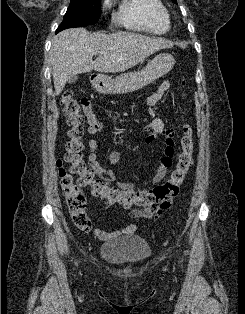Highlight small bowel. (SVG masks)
<instances>
[{"instance_id":"small-bowel-1","label":"small bowel","mask_w":245,"mask_h":314,"mask_svg":"<svg viewBox=\"0 0 245 314\" xmlns=\"http://www.w3.org/2000/svg\"><path fill=\"white\" fill-rule=\"evenodd\" d=\"M171 84L169 81H163L157 85L155 92L148 98V105L155 106L167 93L170 89ZM83 112L87 118L88 122V131L90 134L97 133L101 127L102 123L97 120L95 117L94 111L89 101L85 100V103L82 106ZM146 137L144 141L146 143H152L157 137H163V150L162 157L159 162V166L155 172V174L150 179H145L142 181V184L147 183L151 180L153 183H158L162 180L166 174L168 169L173 164V157L175 155V140H174V131L173 129L167 127L160 117H155L146 125ZM88 161L92 168L97 172L100 179L104 182H110L115 180V174L111 169L112 166L119 163L121 160V153L119 151L113 150L108 153L107 156V166L100 164L97 160L96 149L97 142L94 139H91L88 142ZM118 187L121 190L125 191H136V185L132 182H123L119 181L117 183ZM107 205V204H106ZM161 214H153V213H144L139 210H132L130 212L131 219H157ZM137 230V225L131 224L120 230L116 231H104L102 229H94L93 235L100 241L103 242H111L114 241L121 236L130 235Z\"/></svg>"}]
</instances>
